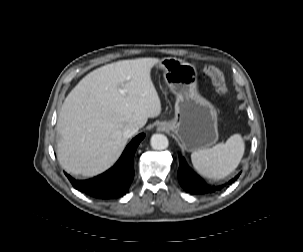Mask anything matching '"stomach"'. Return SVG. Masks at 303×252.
Here are the masks:
<instances>
[{"label": "stomach", "instance_id": "stomach-1", "mask_svg": "<svg viewBox=\"0 0 303 252\" xmlns=\"http://www.w3.org/2000/svg\"><path fill=\"white\" fill-rule=\"evenodd\" d=\"M176 95L175 117L158 126L176 134L188 152L202 150L218 140L217 112L197 91V70L194 65L175 57L160 60L157 65Z\"/></svg>", "mask_w": 303, "mask_h": 252}]
</instances>
